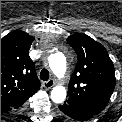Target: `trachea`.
I'll use <instances>...</instances> for the list:
<instances>
[{"instance_id": "3493384b", "label": "trachea", "mask_w": 122, "mask_h": 122, "mask_svg": "<svg viewBox=\"0 0 122 122\" xmlns=\"http://www.w3.org/2000/svg\"><path fill=\"white\" fill-rule=\"evenodd\" d=\"M40 79L43 81H48L49 79V71L47 69H42L40 72Z\"/></svg>"}]
</instances>
